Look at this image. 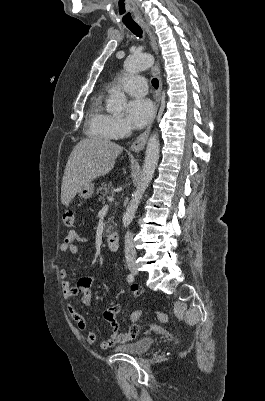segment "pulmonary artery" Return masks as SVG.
Instances as JSON below:
<instances>
[{
  "label": "pulmonary artery",
  "instance_id": "1",
  "mask_svg": "<svg viewBox=\"0 0 265 401\" xmlns=\"http://www.w3.org/2000/svg\"><path fill=\"white\" fill-rule=\"evenodd\" d=\"M145 87L143 75H131L130 81H125V83L122 81L114 82L108 86V89L122 88L126 94L134 95L135 100L140 101L147 92L144 90Z\"/></svg>",
  "mask_w": 265,
  "mask_h": 401
}]
</instances>
